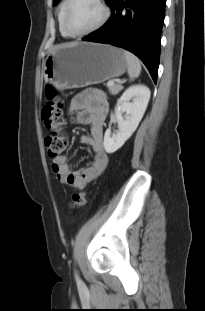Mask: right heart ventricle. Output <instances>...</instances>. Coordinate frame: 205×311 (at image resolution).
I'll return each mask as SVG.
<instances>
[{"label":"right heart ventricle","instance_id":"1","mask_svg":"<svg viewBox=\"0 0 205 311\" xmlns=\"http://www.w3.org/2000/svg\"><path fill=\"white\" fill-rule=\"evenodd\" d=\"M66 0H62L58 12H57V22H58V27L61 35L65 38L69 37L68 34L65 32L64 27H63V13H64V6H65Z\"/></svg>","mask_w":205,"mask_h":311}]
</instances>
